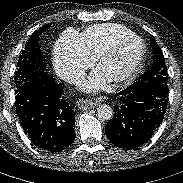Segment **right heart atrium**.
Listing matches in <instances>:
<instances>
[{
    "instance_id": "1",
    "label": "right heart atrium",
    "mask_w": 183,
    "mask_h": 183,
    "mask_svg": "<svg viewBox=\"0 0 183 183\" xmlns=\"http://www.w3.org/2000/svg\"><path fill=\"white\" fill-rule=\"evenodd\" d=\"M53 60L59 75L69 82L79 81L93 64V58L82 45L81 36L74 31H66L58 39Z\"/></svg>"
}]
</instances>
